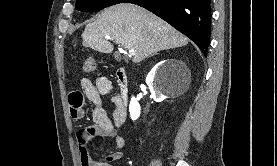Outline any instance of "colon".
Instances as JSON below:
<instances>
[{
  "label": "colon",
  "mask_w": 277,
  "mask_h": 166,
  "mask_svg": "<svg viewBox=\"0 0 277 166\" xmlns=\"http://www.w3.org/2000/svg\"><path fill=\"white\" fill-rule=\"evenodd\" d=\"M82 69L86 73H90L95 69V60L92 57H86L82 63Z\"/></svg>",
  "instance_id": "obj_1"
}]
</instances>
